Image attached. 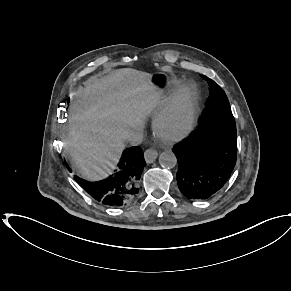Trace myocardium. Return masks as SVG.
I'll use <instances>...</instances> for the list:
<instances>
[{
	"instance_id": "myocardium-1",
	"label": "myocardium",
	"mask_w": 291,
	"mask_h": 291,
	"mask_svg": "<svg viewBox=\"0 0 291 291\" xmlns=\"http://www.w3.org/2000/svg\"><path fill=\"white\" fill-rule=\"evenodd\" d=\"M178 112L184 115L183 124L172 134L164 133V126ZM199 114V94L192 82L182 84L168 99L155 117L153 128L156 135L165 142L174 143L187 137L194 129Z\"/></svg>"
}]
</instances>
